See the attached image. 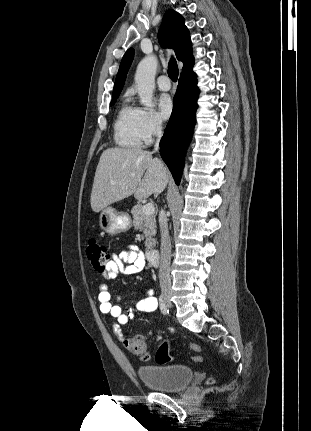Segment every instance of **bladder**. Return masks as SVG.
<instances>
[{
    "label": "bladder",
    "mask_w": 311,
    "mask_h": 431,
    "mask_svg": "<svg viewBox=\"0 0 311 431\" xmlns=\"http://www.w3.org/2000/svg\"><path fill=\"white\" fill-rule=\"evenodd\" d=\"M137 374L146 386L163 392L179 391L193 379V370L183 364L141 365Z\"/></svg>",
    "instance_id": "bladder-1"
}]
</instances>
